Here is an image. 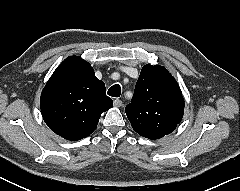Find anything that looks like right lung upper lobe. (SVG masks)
Segmentation results:
<instances>
[{"label":"right lung upper lobe","mask_w":240,"mask_h":191,"mask_svg":"<svg viewBox=\"0 0 240 191\" xmlns=\"http://www.w3.org/2000/svg\"><path fill=\"white\" fill-rule=\"evenodd\" d=\"M113 106L103 81L81 57L66 58L41 93L44 121L57 135L71 141L89 136L101 114Z\"/></svg>","instance_id":"1"}]
</instances>
